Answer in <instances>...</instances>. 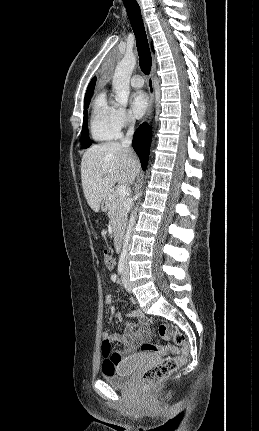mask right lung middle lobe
I'll list each match as a JSON object with an SVG mask.
<instances>
[{
    "mask_svg": "<svg viewBox=\"0 0 259 431\" xmlns=\"http://www.w3.org/2000/svg\"><path fill=\"white\" fill-rule=\"evenodd\" d=\"M92 93L86 94L84 99V121H83V128L81 133V144L83 148H88L91 145V141L88 135V112L87 108L89 107V103L92 97Z\"/></svg>",
    "mask_w": 259,
    "mask_h": 431,
    "instance_id": "1",
    "label": "right lung middle lobe"
}]
</instances>
